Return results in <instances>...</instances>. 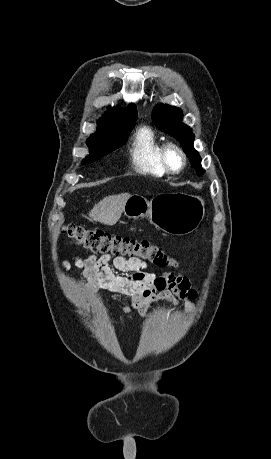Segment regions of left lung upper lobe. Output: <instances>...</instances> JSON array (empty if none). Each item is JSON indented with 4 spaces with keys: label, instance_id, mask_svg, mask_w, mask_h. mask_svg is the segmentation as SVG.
I'll return each mask as SVG.
<instances>
[{
    "label": "left lung upper lobe",
    "instance_id": "left-lung-upper-lobe-1",
    "mask_svg": "<svg viewBox=\"0 0 271 459\" xmlns=\"http://www.w3.org/2000/svg\"><path fill=\"white\" fill-rule=\"evenodd\" d=\"M153 122L164 132L176 138L182 145L184 152L190 159L197 175H202L199 153L194 149V134L189 127L181 122L182 111L179 108L165 104H157L152 110Z\"/></svg>",
    "mask_w": 271,
    "mask_h": 459
}]
</instances>
